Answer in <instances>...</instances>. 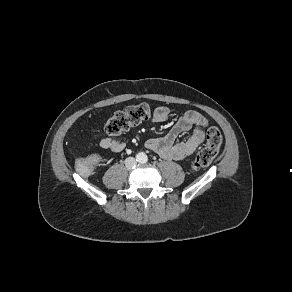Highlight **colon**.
Instances as JSON below:
<instances>
[{"mask_svg": "<svg viewBox=\"0 0 292 292\" xmlns=\"http://www.w3.org/2000/svg\"><path fill=\"white\" fill-rule=\"evenodd\" d=\"M151 115L152 109L146 103L129 106L124 110L114 113L107 120L104 133L108 137L121 134L131 127L148 120ZM221 144V131L217 127H210L207 132L206 145L197 153L192 161V168L198 170L207 167L217 155ZM95 163V157H84L77 161L76 167L81 174L87 175L92 172Z\"/></svg>", "mask_w": 292, "mask_h": 292, "instance_id": "1", "label": "colon"}]
</instances>
